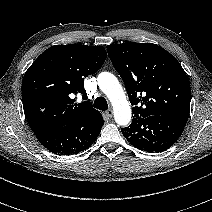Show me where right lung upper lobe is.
Listing matches in <instances>:
<instances>
[{"label": "right lung upper lobe", "mask_w": 212, "mask_h": 212, "mask_svg": "<svg viewBox=\"0 0 212 212\" xmlns=\"http://www.w3.org/2000/svg\"><path fill=\"white\" fill-rule=\"evenodd\" d=\"M106 57L102 46L70 44L52 46L34 61L22 83L24 113L33 132L101 117L91 102L77 104L73 97L87 99L84 78L97 72Z\"/></svg>", "instance_id": "obj_1"}]
</instances>
